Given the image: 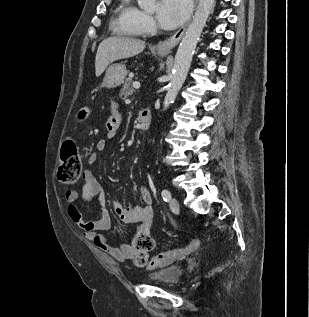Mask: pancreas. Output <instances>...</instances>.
Here are the masks:
<instances>
[{
    "instance_id": "obj_1",
    "label": "pancreas",
    "mask_w": 309,
    "mask_h": 317,
    "mask_svg": "<svg viewBox=\"0 0 309 317\" xmlns=\"http://www.w3.org/2000/svg\"><path fill=\"white\" fill-rule=\"evenodd\" d=\"M133 80L132 78H128L125 80L122 89L120 90L119 97L126 99L130 95L134 93V89L132 88Z\"/></svg>"
}]
</instances>
